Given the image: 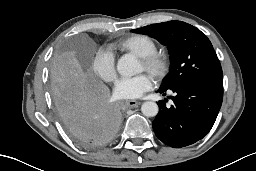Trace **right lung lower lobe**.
<instances>
[{"instance_id":"1","label":"right lung lower lobe","mask_w":256,"mask_h":171,"mask_svg":"<svg viewBox=\"0 0 256 171\" xmlns=\"http://www.w3.org/2000/svg\"><path fill=\"white\" fill-rule=\"evenodd\" d=\"M57 113L70 135L87 148L104 146L117 135L121 114L110 101L108 88L94 83L55 102Z\"/></svg>"}]
</instances>
